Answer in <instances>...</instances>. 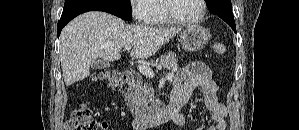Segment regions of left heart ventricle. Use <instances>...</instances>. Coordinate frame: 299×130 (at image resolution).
<instances>
[{
	"label": "left heart ventricle",
	"mask_w": 299,
	"mask_h": 130,
	"mask_svg": "<svg viewBox=\"0 0 299 130\" xmlns=\"http://www.w3.org/2000/svg\"><path fill=\"white\" fill-rule=\"evenodd\" d=\"M170 7L172 13L181 19L195 18L200 12L198 0H173Z\"/></svg>",
	"instance_id": "1"
}]
</instances>
